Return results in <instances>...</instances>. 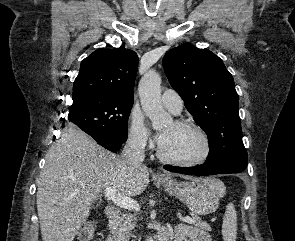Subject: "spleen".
<instances>
[{
    "label": "spleen",
    "mask_w": 295,
    "mask_h": 241,
    "mask_svg": "<svg viewBox=\"0 0 295 241\" xmlns=\"http://www.w3.org/2000/svg\"><path fill=\"white\" fill-rule=\"evenodd\" d=\"M222 236L224 241H236L237 238V214L232 203L226 206L222 223Z\"/></svg>",
    "instance_id": "1"
}]
</instances>
